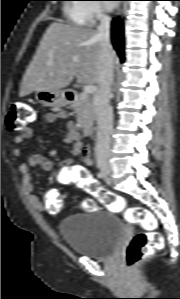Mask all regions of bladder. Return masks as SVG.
Instances as JSON below:
<instances>
[{"label": "bladder", "instance_id": "31cf9c89", "mask_svg": "<svg viewBox=\"0 0 180 299\" xmlns=\"http://www.w3.org/2000/svg\"><path fill=\"white\" fill-rule=\"evenodd\" d=\"M59 232L75 253L107 259L119 247L124 226L112 211L97 209L67 216L60 222Z\"/></svg>", "mask_w": 180, "mask_h": 299}]
</instances>
